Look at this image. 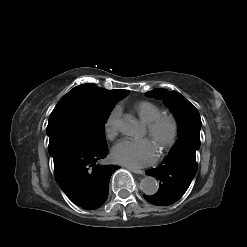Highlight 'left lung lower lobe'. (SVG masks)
<instances>
[{"instance_id":"left-lung-lower-lobe-1","label":"left lung lower lobe","mask_w":247,"mask_h":247,"mask_svg":"<svg viewBox=\"0 0 247 247\" xmlns=\"http://www.w3.org/2000/svg\"><path fill=\"white\" fill-rule=\"evenodd\" d=\"M196 150L180 148L171 151L159 167L146 171L157 178L159 190L144 198L154 205L166 206L179 200L188 189L197 171Z\"/></svg>"}]
</instances>
